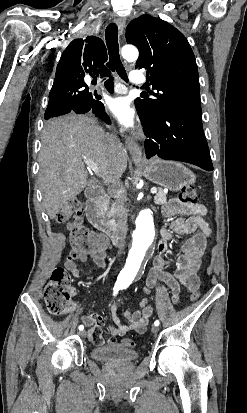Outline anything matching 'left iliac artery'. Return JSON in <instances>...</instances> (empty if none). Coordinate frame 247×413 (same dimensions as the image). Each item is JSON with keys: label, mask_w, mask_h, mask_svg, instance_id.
<instances>
[{"label": "left iliac artery", "mask_w": 247, "mask_h": 413, "mask_svg": "<svg viewBox=\"0 0 247 413\" xmlns=\"http://www.w3.org/2000/svg\"><path fill=\"white\" fill-rule=\"evenodd\" d=\"M128 286H129V284H128V285H124V286L122 287V289H126ZM159 324H160V323H159L158 320H156V321L154 322V325H155V326H158Z\"/></svg>", "instance_id": "44dca946"}]
</instances>
